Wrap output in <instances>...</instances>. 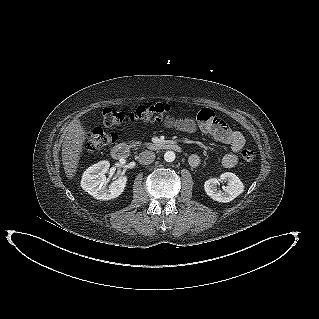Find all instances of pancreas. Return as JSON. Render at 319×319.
Segmentation results:
<instances>
[{
	"mask_svg": "<svg viewBox=\"0 0 319 319\" xmlns=\"http://www.w3.org/2000/svg\"><path fill=\"white\" fill-rule=\"evenodd\" d=\"M143 145V143L142 142H140V141H135V142H131L130 143V147H137V146H142Z\"/></svg>",
	"mask_w": 319,
	"mask_h": 319,
	"instance_id": "cf45deb5",
	"label": "pancreas"
}]
</instances>
